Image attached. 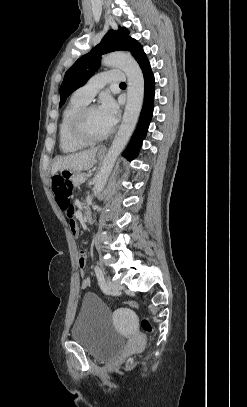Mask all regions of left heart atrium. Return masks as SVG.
Listing matches in <instances>:
<instances>
[{
	"instance_id": "left-heart-atrium-1",
	"label": "left heart atrium",
	"mask_w": 247,
	"mask_h": 407,
	"mask_svg": "<svg viewBox=\"0 0 247 407\" xmlns=\"http://www.w3.org/2000/svg\"><path fill=\"white\" fill-rule=\"evenodd\" d=\"M98 110L106 125L111 129L116 124L119 114L115 100L111 96H104Z\"/></svg>"
}]
</instances>
